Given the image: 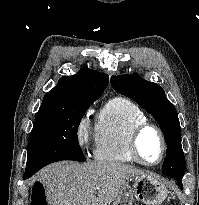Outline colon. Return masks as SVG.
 Here are the masks:
<instances>
[{"instance_id":"colon-1","label":"colon","mask_w":199,"mask_h":205,"mask_svg":"<svg viewBox=\"0 0 199 205\" xmlns=\"http://www.w3.org/2000/svg\"><path fill=\"white\" fill-rule=\"evenodd\" d=\"M31 205H47L45 194L43 192H36Z\"/></svg>"}]
</instances>
